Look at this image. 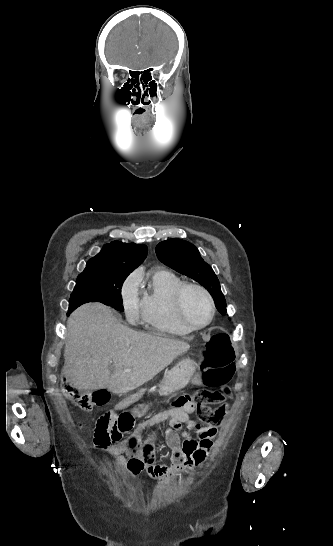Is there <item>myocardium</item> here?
Wrapping results in <instances>:
<instances>
[{
    "instance_id": "f54148a6",
    "label": "myocardium",
    "mask_w": 333,
    "mask_h": 546,
    "mask_svg": "<svg viewBox=\"0 0 333 546\" xmlns=\"http://www.w3.org/2000/svg\"><path fill=\"white\" fill-rule=\"evenodd\" d=\"M191 289H194V290H197V291L201 292L205 296V298L207 299V301L209 303L210 316H209L208 320L205 323L200 324V325L193 324L187 318V316L185 314L184 298H185L186 293ZM173 305H174L175 313H176L179 321L181 322V324L183 326H185L186 328H188L189 330H191V331L201 330V329L207 327L208 325H210L212 323V321L214 320V317H215V314H216V305H215V302H214V299H213L211 293L205 287H203L202 285L197 284V283H187L186 282L183 285H181L176 290V292L174 294Z\"/></svg>"
}]
</instances>
